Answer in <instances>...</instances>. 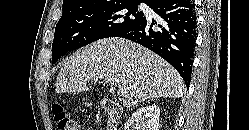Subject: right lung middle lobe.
Masks as SVG:
<instances>
[{
  "label": "right lung middle lobe",
  "instance_id": "dd1d6c3e",
  "mask_svg": "<svg viewBox=\"0 0 249 130\" xmlns=\"http://www.w3.org/2000/svg\"><path fill=\"white\" fill-rule=\"evenodd\" d=\"M141 2L109 1L64 12L55 28L52 63H56L68 51L99 39L118 37L140 22L145 17L142 11H138Z\"/></svg>",
  "mask_w": 249,
  "mask_h": 130
}]
</instances>
